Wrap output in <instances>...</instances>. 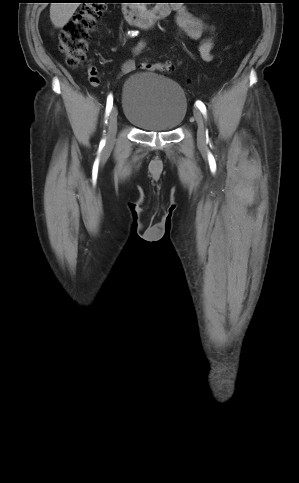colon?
Listing matches in <instances>:
<instances>
[{
  "label": "colon",
  "mask_w": 299,
  "mask_h": 483,
  "mask_svg": "<svg viewBox=\"0 0 299 483\" xmlns=\"http://www.w3.org/2000/svg\"><path fill=\"white\" fill-rule=\"evenodd\" d=\"M77 12L68 21L60 33V49L66 55V62L71 67H77L86 60L91 33L96 26L97 18L105 11L103 0H94ZM140 68L146 71L165 74L173 67L167 63H152L143 61ZM91 82V80L89 79Z\"/></svg>",
  "instance_id": "1"
}]
</instances>
